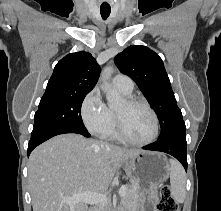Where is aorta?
<instances>
[{
	"label": "aorta",
	"mask_w": 221,
	"mask_h": 211,
	"mask_svg": "<svg viewBox=\"0 0 221 211\" xmlns=\"http://www.w3.org/2000/svg\"><path fill=\"white\" fill-rule=\"evenodd\" d=\"M112 71L113 69L111 67H106L103 70L101 75V80H102L101 89L106 95L108 106L110 108H115L121 104L122 98L118 93V91L110 83Z\"/></svg>",
	"instance_id": "762f6f07"
}]
</instances>
